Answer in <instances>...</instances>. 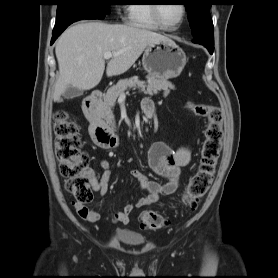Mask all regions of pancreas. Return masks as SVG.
Returning <instances> with one entry per match:
<instances>
[{
  "mask_svg": "<svg viewBox=\"0 0 278 278\" xmlns=\"http://www.w3.org/2000/svg\"><path fill=\"white\" fill-rule=\"evenodd\" d=\"M141 88L145 94L150 96L156 95L159 91L163 90L168 92L171 89H174V85L169 82L167 79L158 78L155 76H147V85L145 82L138 80L136 77L129 79H122L118 81L116 85L111 87L103 97V103L100 107V115L108 123L114 121V115L112 109L115 106V102L119 95L123 93L127 88Z\"/></svg>",
  "mask_w": 278,
  "mask_h": 278,
  "instance_id": "cf45deb5",
  "label": "pancreas"
}]
</instances>
